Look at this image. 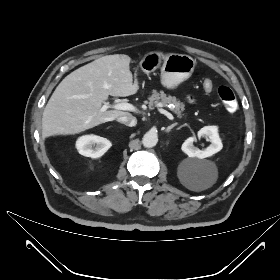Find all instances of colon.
<instances>
[{
  "label": "colon",
  "mask_w": 280,
  "mask_h": 280,
  "mask_svg": "<svg viewBox=\"0 0 280 280\" xmlns=\"http://www.w3.org/2000/svg\"><path fill=\"white\" fill-rule=\"evenodd\" d=\"M204 87L210 91L212 89V82L209 80L204 81ZM218 95L224 104V107L229 112H235L238 108V103L234 92L227 86H220L218 88Z\"/></svg>",
  "instance_id": "1"
}]
</instances>
